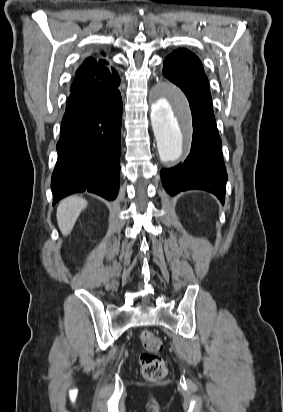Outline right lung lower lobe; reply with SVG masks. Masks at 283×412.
Returning a JSON list of instances; mask_svg holds the SVG:
<instances>
[{
    "instance_id": "obj_1",
    "label": "right lung lower lobe",
    "mask_w": 283,
    "mask_h": 412,
    "mask_svg": "<svg viewBox=\"0 0 283 412\" xmlns=\"http://www.w3.org/2000/svg\"><path fill=\"white\" fill-rule=\"evenodd\" d=\"M119 84L120 78L111 82L93 79L71 91L51 179L53 205L84 191L108 200L117 197L122 121Z\"/></svg>"
}]
</instances>
